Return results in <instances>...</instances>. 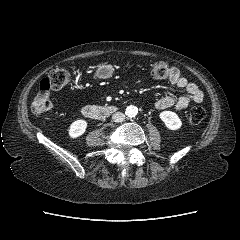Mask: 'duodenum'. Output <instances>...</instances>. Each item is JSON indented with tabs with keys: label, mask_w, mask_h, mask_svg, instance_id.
<instances>
[{
	"label": "duodenum",
	"mask_w": 240,
	"mask_h": 240,
	"mask_svg": "<svg viewBox=\"0 0 240 240\" xmlns=\"http://www.w3.org/2000/svg\"><path fill=\"white\" fill-rule=\"evenodd\" d=\"M115 111L114 106L86 105L82 108V114L90 119H103Z\"/></svg>",
	"instance_id": "obj_1"
}]
</instances>
